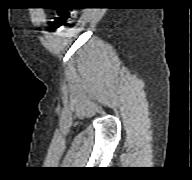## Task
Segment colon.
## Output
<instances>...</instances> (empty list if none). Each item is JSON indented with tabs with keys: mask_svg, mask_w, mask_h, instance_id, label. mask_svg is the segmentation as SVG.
Listing matches in <instances>:
<instances>
[{
	"mask_svg": "<svg viewBox=\"0 0 192 180\" xmlns=\"http://www.w3.org/2000/svg\"><path fill=\"white\" fill-rule=\"evenodd\" d=\"M75 17H76V10L59 9L56 13L55 24L57 26L68 25L73 22Z\"/></svg>",
	"mask_w": 192,
	"mask_h": 180,
	"instance_id": "obj_1",
	"label": "colon"
}]
</instances>
